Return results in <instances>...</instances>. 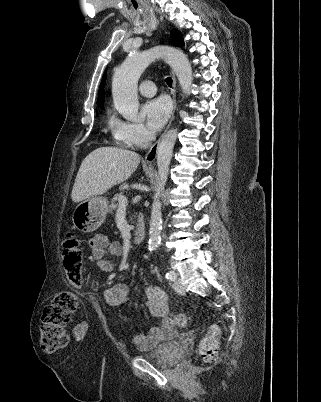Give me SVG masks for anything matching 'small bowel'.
Instances as JSON below:
<instances>
[{"label": "small bowel", "mask_w": 321, "mask_h": 402, "mask_svg": "<svg viewBox=\"0 0 321 402\" xmlns=\"http://www.w3.org/2000/svg\"><path fill=\"white\" fill-rule=\"evenodd\" d=\"M89 245L97 268L105 273L111 272L113 264L105 257L106 254L119 257L122 255V245L118 241H111L104 234H96L89 240ZM146 308L153 317L160 319V324L150 328L146 333L132 336L133 344L141 350H148L158 342L175 336L176 322L170 314L167 304V295L158 285H148L144 289ZM103 300L110 308H120L129 301V291L125 284H115L103 292ZM83 326L78 324L73 333L79 338Z\"/></svg>", "instance_id": "1"}]
</instances>
